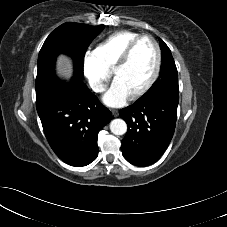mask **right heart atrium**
Returning a JSON list of instances; mask_svg holds the SVG:
<instances>
[{
    "label": "right heart atrium",
    "mask_w": 227,
    "mask_h": 227,
    "mask_svg": "<svg viewBox=\"0 0 227 227\" xmlns=\"http://www.w3.org/2000/svg\"><path fill=\"white\" fill-rule=\"evenodd\" d=\"M82 70L94 92L101 93L105 90L110 79V72L104 67L94 52H85L82 59Z\"/></svg>",
    "instance_id": "right-heart-atrium-1"
}]
</instances>
